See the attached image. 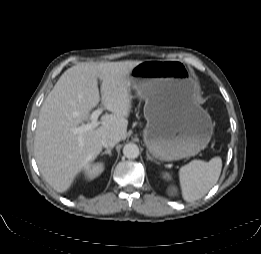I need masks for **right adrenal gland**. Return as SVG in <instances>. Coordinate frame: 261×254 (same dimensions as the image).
Instances as JSON below:
<instances>
[{
  "instance_id": "right-adrenal-gland-1",
  "label": "right adrenal gland",
  "mask_w": 261,
  "mask_h": 254,
  "mask_svg": "<svg viewBox=\"0 0 261 254\" xmlns=\"http://www.w3.org/2000/svg\"><path fill=\"white\" fill-rule=\"evenodd\" d=\"M113 147L107 148L104 152L101 153V156L108 154L109 156L112 155L111 151H112Z\"/></svg>"
}]
</instances>
